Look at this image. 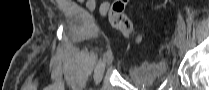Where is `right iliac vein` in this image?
I'll return each mask as SVG.
<instances>
[{"label":"right iliac vein","mask_w":209,"mask_h":90,"mask_svg":"<svg viewBox=\"0 0 209 90\" xmlns=\"http://www.w3.org/2000/svg\"><path fill=\"white\" fill-rule=\"evenodd\" d=\"M113 61V55L109 56L108 58L105 59L104 63L105 64H110Z\"/></svg>","instance_id":"63e3f726"}]
</instances>
